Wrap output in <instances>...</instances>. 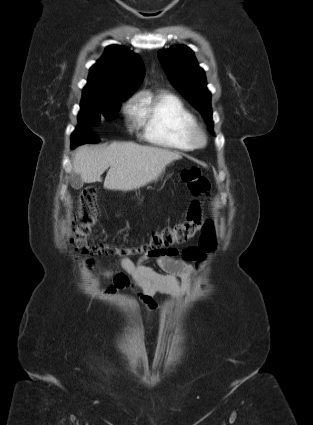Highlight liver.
Returning <instances> with one entry per match:
<instances>
[{"mask_svg": "<svg viewBox=\"0 0 313 425\" xmlns=\"http://www.w3.org/2000/svg\"><path fill=\"white\" fill-rule=\"evenodd\" d=\"M181 158L179 153L159 147L114 142L107 147L81 146L73 159V169L84 182L95 183L109 168L104 188L129 191L145 186L169 163Z\"/></svg>", "mask_w": 313, "mask_h": 425, "instance_id": "liver-1", "label": "liver"}]
</instances>
